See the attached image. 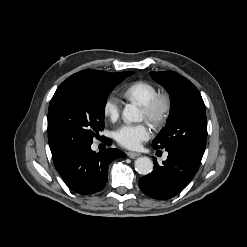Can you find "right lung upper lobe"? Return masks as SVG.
<instances>
[{
	"label": "right lung upper lobe",
	"mask_w": 247,
	"mask_h": 247,
	"mask_svg": "<svg viewBox=\"0 0 247 247\" xmlns=\"http://www.w3.org/2000/svg\"><path fill=\"white\" fill-rule=\"evenodd\" d=\"M119 74H121V73H111V72H104V71H100V70L86 69V70H83V71L78 72L76 74H73L69 78L84 77V78H90V79H94V80H106V79L114 78ZM52 155H53V157L56 156V154H52Z\"/></svg>",
	"instance_id": "obj_1"
}]
</instances>
